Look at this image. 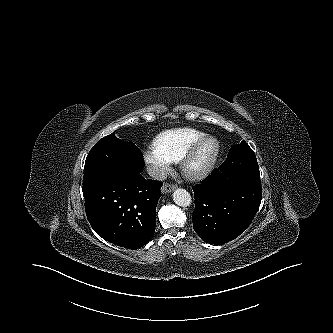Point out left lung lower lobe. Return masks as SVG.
<instances>
[{"label":"left lung lower lobe","mask_w":333,"mask_h":333,"mask_svg":"<svg viewBox=\"0 0 333 333\" xmlns=\"http://www.w3.org/2000/svg\"><path fill=\"white\" fill-rule=\"evenodd\" d=\"M239 159H246L241 155ZM193 227L210 244L227 243L251 224L261 203V182L236 173L225 162L200 184L193 186Z\"/></svg>","instance_id":"obj_1"}]
</instances>
